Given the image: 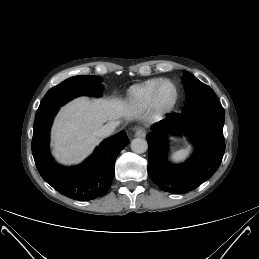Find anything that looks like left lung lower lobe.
<instances>
[{"mask_svg": "<svg viewBox=\"0 0 259 259\" xmlns=\"http://www.w3.org/2000/svg\"><path fill=\"white\" fill-rule=\"evenodd\" d=\"M224 118V109L220 105L168 114L157 123L146 137L151 180L164 192L184 194L210 178L218 169L225 150ZM169 132L185 134L195 143L194 155L183 164L173 165L168 161L165 134Z\"/></svg>", "mask_w": 259, "mask_h": 259, "instance_id": "1", "label": "left lung lower lobe"}]
</instances>
